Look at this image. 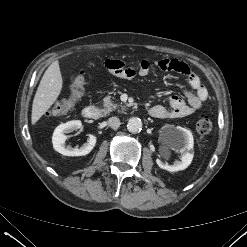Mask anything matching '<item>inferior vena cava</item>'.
<instances>
[{"label": "inferior vena cava", "instance_id": "obj_1", "mask_svg": "<svg viewBox=\"0 0 247 247\" xmlns=\"http://www.w3.org/2000/svg\"><path fill=\"white\" fill-rule=\"evenodd\" d=\"M108 124H109V126L111 128L118 129L121 123H120L119 118H117V117H110L108 119Z\"/></svg>", "mask_w": 247, "mask_h": 247}]
</instances>
